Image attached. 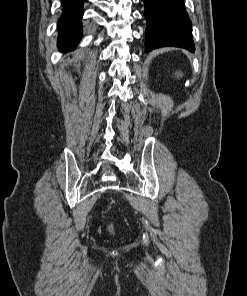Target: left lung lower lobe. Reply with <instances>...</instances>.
<instances>
[{"label":"left lung lower lobe","mask_w":247,"mask_h":296,"mask_svg":"<svg viewBox=\"0 0 247 296\" xmlns=\"http://www.w3.org/2000/svg\"><path fill=\"white\" fill-rule=\"evenodd\" d=\"M147 21L145 33L146 52L163 46L195 51L192 25L184 0H142Z\"/></svg>","instance_id":"left-lung-lower-lobe-1"}]
</instances>
